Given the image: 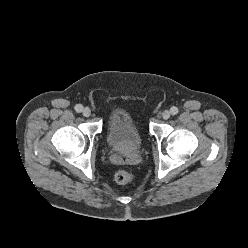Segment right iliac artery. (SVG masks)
<instances>
[{
	"label": "right iliac artery",
	"instance_id": "82829eb1",
	"mask_svg": "<svg viewBox=\"0 0 248 248\" xmlns=\"http://www.w3.org/2000/svg\"><path fill=\"white\" fill-rule=\"evenodd\" d=\"M75 110H76L77 112H82L83 106H82L81 104H77V105L75 106Z\"/></svg>",
	"mask_w": 248,
	"mask_h": 248
}]
</instances>
